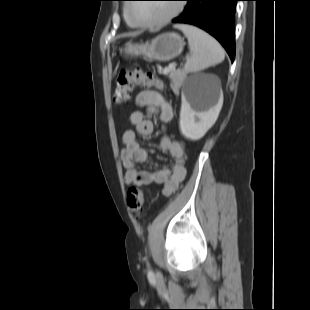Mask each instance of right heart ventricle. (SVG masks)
I'll return each instance as SVG.
<instances>
[{"instance_id": "obj_1", "label": "right heart ventricle", "mask_w": 310, "mask_h": 310, "mask_svg": "<svg viewBox=\"0 0 310 310\" xmlns=\"http://www.w3.org/2000/svg\"><path fill=\"white\" fill-rule=\"evenodd\" d=\"M128 22V21H127ZM129 25L133 26L131 23L128 22ZM134 27V26H133Z\"/></svg>"}]
</instances>
